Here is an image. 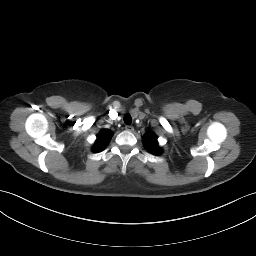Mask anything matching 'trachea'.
<instances>
[{
    "label": "trachea",
    "instance_id": "3493384b",
    "mask_svg": "<svg viewBox=\"0 0 256 256\" xmlns=\"http://www.w3.org/2000/svg\"><path fill=\"white\" fill-rule=\"evenodd\" d=\"M124 122L125 124L130 125L132 123V117L129 114H126L124 116Z\"/></svg>",
    "mask_w": 256,
    "mask_h": 256
}]
</instances>
